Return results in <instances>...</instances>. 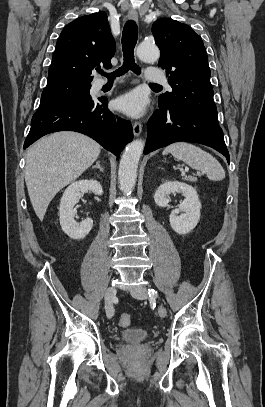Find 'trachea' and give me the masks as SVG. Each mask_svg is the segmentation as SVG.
I'll use <instances>...</instances> for the list:
<instances>
[{"label":"trachea","instance_id":"1","mask_svg":"<svg viewBox=\"0 0 265 407\" xmlns=\"http://www.w3.org/2000/svg\"><path fill=\"white\" fill-rule=\"evenodd\" d=\"M137 37L136 22L133 20L127 21L122 32V48L124 56L123 66L111 74H106L102 70H99L98 73L106 76L109 80L115 78L116 76L125 74L128 70H132L134 73L140 74L141 70L137 64H135L134 60V48L137 43ZM150 85L160 87V85L154 83Z\"/></svg>","mask_w":265,"mask_h":407}]
</instances>
